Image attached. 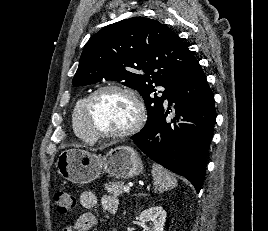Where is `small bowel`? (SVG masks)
<instances>
[{
	"label": "small bowel",
	"mask_w": 268,
	"mask_h": 231,
	"mask_svg": "<svg viewBox=\"0 0 268 231\" xmlns=\"http://www.w3.org/2000/svg\"><path fill=\"white\" fill-rule=\"evenodd\" d=\"M79 202L82 207L87 209L100 205L106 214H114L118 210V200L112 195H103L97 198L93 192L84 191L80 194ZM97 223V216L91 212H87L68 224L63 231H90Z\"/></svg>",
	"instance_id": "c3829d8e"
}]
</instances>
